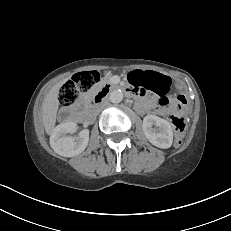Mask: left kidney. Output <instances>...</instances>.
Wrapping results in <instances>:
<instances>
[{
    "label": "left kidney",
    "mask_w": 231,
    "mask_h": 231,
    "mask_svg": "<svg viewBox=\"0 0 231 231\" xmlns=\"http://www.w3.org/2000/svg\"><path fill=\"white\" fill-rule=\"evenodd\" d=\"M153 125L157 127L153 128ZM142 129L146 138L156 147L167 149L173 143V131L170 123L155 115L143 119Z\"/></svg>",
    "instance_id": "obj_1"
}]
</instances>
